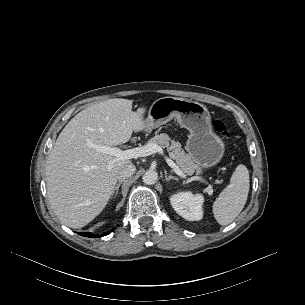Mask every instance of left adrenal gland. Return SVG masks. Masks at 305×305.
Listing matches in <instances>:
<instances>
[{
  "instance_id": "left-adrenal-gland-1",
  "label": "left adrenal gland",
  "mask_w": 305,
  "mask_h": 305,
  "mask_svg": "<svg viewBox=\"0 0 305 305\" xmlns=\"http://www.w3.org/2000/svg\"><path fill=\"white\" fill-rule=\"evenodd\" d=\"M165 180L168 182V181H170V180H176V181H178V179L176 178V177H174V176H172V175H165Z\"/></svg>"
}]
</instances>
